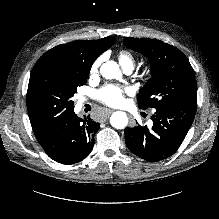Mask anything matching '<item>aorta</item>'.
<instances>
[{
	"instance_id": "aorta-1",
	"label": "aorta",
	"mask_w": 219,
	"mask_h": 219,
	"mask_svg": "<svg viewBox=\"0 0 219 219\" xmlns=\"http://www.w3.org/2000/svg\"><path fill=\"white\" fill-rule=\"evenodd\" d=\"M100 73L106 79H115L120 75V69L116 62L108 61L102 64ZM110 124L116 129H123L128 124V117L124 112L116 111L110 117Z\"/></svg>"
}]
</instances>
